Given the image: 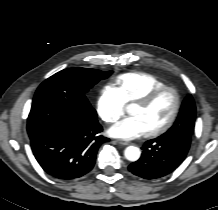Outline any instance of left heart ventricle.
I'll list each match as a JSON object with an SVG mask.
<instances>
[{
  "instance_id": "obj_1",
  "label": "left heart ventricle",
  "mask_w": 218,
  "mask_h": 210,
  "mask_svg": "<svg viewBox=\"0 0 218 210\" xmlns=\"http://www.w3.org/2000/svg\"><path fill=\"white\" fill-rule=\"evenodd\" d=\"M173 106V94L171 92H166L148 107L134 105L131 109V115L140 117L149 132L162 126L168 120L173 110Z\"/></svg>"
}]
</instances>
